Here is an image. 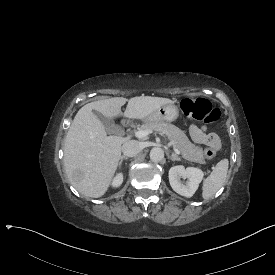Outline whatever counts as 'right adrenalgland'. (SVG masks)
I'll use <instances>...</instances> for the list:
<instances>
[{
	"mask_svg": "<svg viewBox=\"0 0 275 275\" xmlns=\"http://www.w3.org/2000/svg\"><path fill=\"white\" fill-rule=\"evenodd\" d=\"M127 159H128V157H126V156H121V157H120V161H119V167H121L123 160H127Z\"/></svg>",
	"mask_w": 275,
	"mask_h": 275,
	"instance_id": "2a0ac1e0",
	"label": "right adrenal gland"
}]
</instances>
